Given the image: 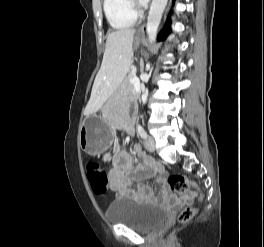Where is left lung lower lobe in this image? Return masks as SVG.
<instances>
[{"instance_id": "left-lung-lower-lobe-1", "label": "left lung lower lobe", "mask_w": 264, "mask_h": 247, "mask_svg": "<svg viewBox=\"0 0 264 247\" xmlns=\"http://www.w3.org/2000/svg\"><path fill=\"white\" fill-rule=\"evenodd\" d=\"M175 0H173V3H174ZM170 31V20L167 19V22L165 24V27L164 29L161 31V33L159 34L158 36V40L161 41V40H165L166 39V36L168 34V32Z\"/></svg>"}]
</instances>
